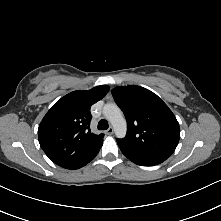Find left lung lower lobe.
Here are the masks:
<instances>
[{"label":"left lung lower lobe","instance_id":"obj_1","mask_svg":"<svg viewBox=\"0 0 221 221\" xmlns=\"http://www.w3.org/2000/svg\"><path fill=\"white\" fill-rule=\"evenodd\" d=\"M122 153L135 164L141 166H154L165 161L169 156L159 153L133 149L117 141Z\"/></svg>","mask_w":221,"mask_h":221}]
</instances>
